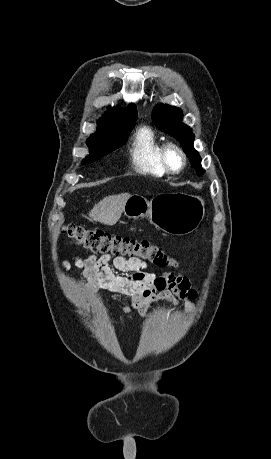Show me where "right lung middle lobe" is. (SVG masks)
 <instances>
[{"label":"right lung middle lobe","mask_w":271,"mask_h":459,"mask_svg":"<svg viewBox=\"0 0 271 459\" xmlns=\"http://www.w3.org/2000/svg\"><path fill=\"white\" fill-rule=\"evenodd\" d=\"M135 121L99 123L97 132L92 134L87 140L90 155L84 160V163L95 161L125 144Z\"/></svg>","instance_id":"1"}]
</instances>
